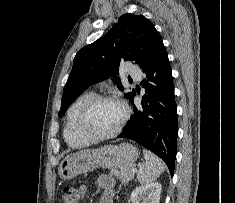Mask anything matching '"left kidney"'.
<instances>
[{"label":"left kidney","mask_w":235,"mask_h":203,"mask_svg":"<svg viewBox=\"0 0 235 203\" xmlns=\"http://www.w3.org/2000/svg\"><path fill=\"white\" fill-rule=\"evenodd\" d=\"M161 184L158 182L148 183L136 187L131 193L132 203H159L161 194Z\"/></svg>","instance_id":"obj_1"}]
</instances>
